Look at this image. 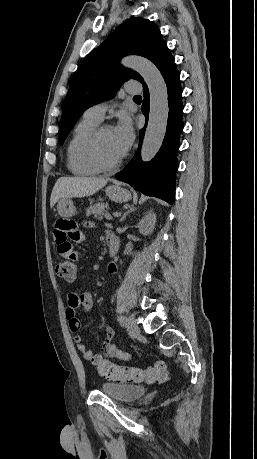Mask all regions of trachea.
<instances>
[{"label": "trachea", "instance_id": "3493384b", "mask_svg": "<svg viewBox=\"0 0 257 459\" xmlns=\"http://www.w3.org/2000/svg\"><path fill=\"white\" fill-rule=\"evenodd\" d=\"M134 98H141V96H139V95H136V96H134Z\"/></svg>", "mask_w": 257, "mask_h": 459}]
</instances>
